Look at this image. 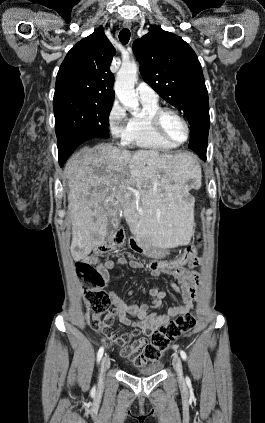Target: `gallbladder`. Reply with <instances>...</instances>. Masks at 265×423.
I'll use <instances>...</instances> for the list:
<instances>
[{"label":"gallbladder","mask_w":265,"mask_h":423,"mask_svg":"<svg viewBox=\"0 0 265 423\" xmlns=\"http://www.w3.org/2000/svg\"><path fill=\"white\" fill-rule=\"evenodd\" d=\"M119 225V218L115 217L111 222V228H117Z\"/></svg>","instance_id":"bac80fb5"}]
</instances>
